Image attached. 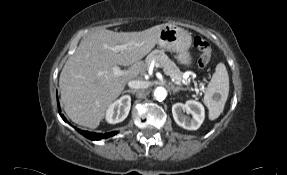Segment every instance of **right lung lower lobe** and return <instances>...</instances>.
I'll return each instance as SVG.
<instances>
[{
	"instance_id": "obj_1",
	"label": "right lung lower lobe",
	"mask_w": 287,
	"mask_h": 175,
	"mask_svg": "<svg viewBox=\"0 0 287 175\" xmlns=\"http://www.w3.org/2000/svg\"><path fill=\"white\" fill-rule=\"evenodd\" d=\"M58 110L60 112V106H59V102H58ZM60 116L62 117V119L69 123L67 121V119L64 117V115L60 114ZM75 129L80 133L82 134L83 136H85L86 138L90 139V140H99V139H103V138H108V137H111L113 135H115L117 132L113 131V132H110V133H105V134H102V133H94V132H88V131H84V130H80V129H77L75 127Z\"/></svg>"
}]
</instances>
